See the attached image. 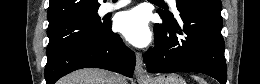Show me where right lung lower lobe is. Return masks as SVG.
Masks as SVG:
<instances>
[{
	"label": "right lung lower lobe",
	"mask_w": 260,
	"mask_h": 84,
	"mask_svg": "<svg viewBox=\"0 0 260 84\" xmlns=\"http://www.w3.org/2000/svg\"><path fill=\"white\" fill-rule=\"evenodd\" d=\"M136 58L125 47L118 34L111 30L97 39H84L71 43L45 67L46 84H54L64 75L81 68L95 67L132 77Z\"/></svg>",
	"instance_id": "obj_1"
}]
</instances>
